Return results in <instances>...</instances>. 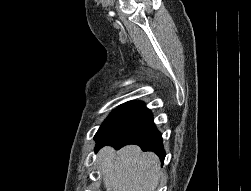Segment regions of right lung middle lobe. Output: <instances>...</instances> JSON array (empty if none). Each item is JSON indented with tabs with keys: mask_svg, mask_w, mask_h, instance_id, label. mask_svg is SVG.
Returning a JSON list of instances; mask_svg holds the SVG:
<instances>
[{
	"mask_svg": "<svg viewBox=\"0 0 251 191\" xmlns=\"http://www.w3.org/2000/svg\"><path fill=\"white\" fill-rule=\"evenodd\" d=\"M143 112V110L123 107L113 110L94 137L96 140V149L119 134Z\"/></svg>",
	"mask_w": 251,
	"mask_h": 191,
	"instance_id": "1",
	"label": "right lung middle lobe"
}]
</instances>
